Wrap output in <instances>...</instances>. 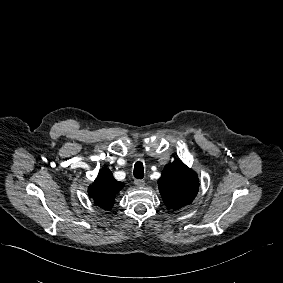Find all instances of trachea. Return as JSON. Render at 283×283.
<instances>
[{"instance_id": "trachea-1", "label": "trachea", "mask_w": 283, "mask_h": 283, "mask_svg": "<svg viewBox=\"0 0 283 283\" xmlns=\"http://www.w3.org/2000/svg\"><path fill=\"white\" fill-rule=\"evenodd\" d=\"M134 177L142 179L144 177V168L142 162H136L134 165Z\"/></svg>"}]
</instances>
